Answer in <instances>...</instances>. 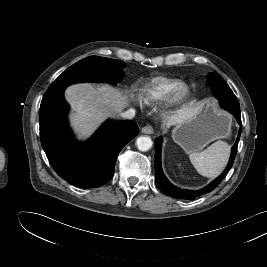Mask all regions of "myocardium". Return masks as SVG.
<instances>
[{
    "label": "myocardium",
    "mask_w": 267,
    "mask_h": 267,
    "mask_svg": "<svg viewBox=\"0 0 267 267\" xmlns=\"http://www.w3.org/2000/svg\"><path fill=\"white\" fill-rule=\"evenodd\" d=\"M191 91L187 84H179L176 86L172 92L165 98L163 104V110L166 113H172L183 104H185L190 98Z\"/></svg>",
    "instance_id": "myocardium-1"
}]
</instances>
